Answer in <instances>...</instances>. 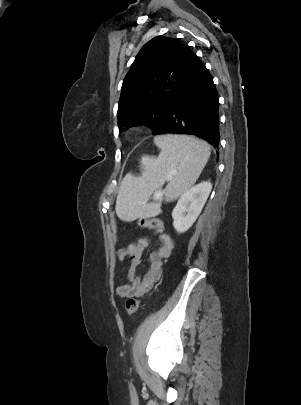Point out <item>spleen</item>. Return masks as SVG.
Wrapping results in <instances>:
<instances>
[{"label": "spleen", "instance_id": "obj_1", "mask_svg": "<svg viewBox=\"0 0 301 405\" xmlns=\"http://www.w3.org/2000/svg\"><path fill=\"white\" fill-rule=\"evenodd\" d=\"M154 143L159 156H143L142 175L128 174L120 185L115 209L121 220L158 214L160 204H148L149 196L169 179L163 193L170 200L178 198L196 182L211 154L206 142L185 135L157 136Z\"/></svg>", "mask_w": 301, "mask_h": 405}]
</instances>
